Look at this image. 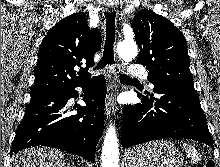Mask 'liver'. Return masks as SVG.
<instances>
[{
	"instance_id": "liver-1",
	"label": "liver",
	"mask_w": 220,
	"mask_h": 167,
	"mask_svg": "<svg viewBox=\"0 0 220 167\" xmlns=\"http://www.w3.org/2000/svg\"><path fill=\"white\" fill-rule=\"evenodd\" d=\"M9 167H67L61 151L32 147L12 156Z\"/></svg>"
}]
</instances>
